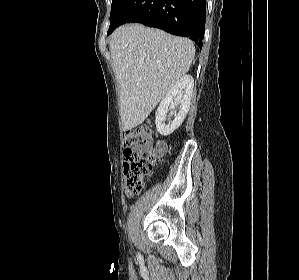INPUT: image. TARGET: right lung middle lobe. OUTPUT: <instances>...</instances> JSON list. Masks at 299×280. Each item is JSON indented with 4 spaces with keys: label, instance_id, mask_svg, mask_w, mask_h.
I'll use <instances>...</instances> for the list:
<instances>
[{
    "label": "right lung middle lobe",
    "instance_id": "obj_1",
    "mask_svg": "<svg viewBox=\"0 0 299 280\" xmlns=\"http://www.w3.org/2000/svg\"><path fill=\"white\" fill-rule=\"evenodd\" d=\"M125 1L126 0H113L112 1L111 13H110V27L112 26L116 15L118 14L120 8L122 7V5L124 4ZM110 27H109V29H110Z\"/></svg>",
    "mask_w": 299,
    "mask_h": 280
}]
</instances>
